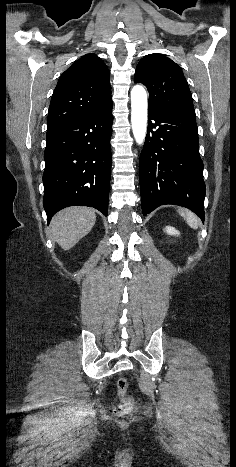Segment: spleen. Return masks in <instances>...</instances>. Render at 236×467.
<instances>
[{"mask_svg": "<svg viewBox=\"0 0 236 467\" xmlns=\"http://www.w3.org/2000/svg\"><path fill=\"white\" fill-rule=\"evenodd\" d=\"M179 214L186 220L187 224L193 228L197 229L198 228V220L197 217L190 212L189 210H179Z\"/></svg>", "mask_w": 236, "mask_h": 467, "instance_id": "obj_1", "label": "spleen"}]
</instances>
